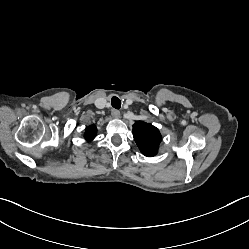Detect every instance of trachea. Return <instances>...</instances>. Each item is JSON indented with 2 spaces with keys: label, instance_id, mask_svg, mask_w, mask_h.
<instances>
[{
  "label": "trachea",
  "instance_id": "3493384b",
  "mask_svg": "<svg viewBox=\"0 0 249 249\" xmlns=\"http://www.w3.org/2000/svg\"><path fill=\"white\" fill-rule=\"evenodd\" d=\"M111 105L115 108V109H120L121 107V101L118 97L113 96L111 99Z\"/></svg>",
  "mask_w": 249,
  "mask_h": 249
}]
</instances>
